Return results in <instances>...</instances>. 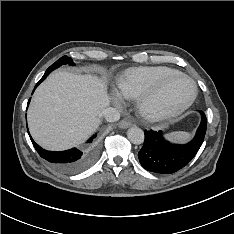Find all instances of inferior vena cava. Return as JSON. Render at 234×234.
<instances>
[{
    "label": "inferior vena cava",
    "instance_id": "1",
    "mask_svg": "<svg viewBox=\"0 0 234 234\" xmlns=\"http://www.w3.org/2000/svg\"><path fill=\"white\" fill-rule=\"evenodd\" d=\"M102 115L105 118V120L108 122H115L120 119L119 111L112 107L105 108L102 111Z\"/></svg>",
    "mask_w": 234,
    "mask_h": 234
}]
</instances>
